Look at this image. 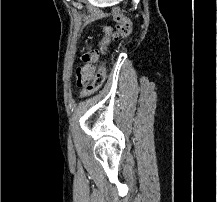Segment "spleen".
<instances>
[{
  "label": "spleen",
  "instance_id": "spleen-1",
  "mask_svg": "<svg viewBox=\"0 0 217 202\" xmlns=\"http://www.w3.org/2000/svg\"><path fill=\"white\" fill-rule=\"evenodd\" d=\"M88 5H95V7H108V5H119V0H88Z\"/></svg>",
  "mask_w": 217,
  "mask_h": 202
}]
</instances>
